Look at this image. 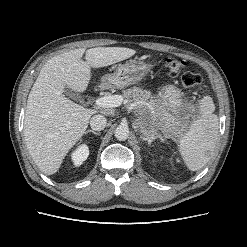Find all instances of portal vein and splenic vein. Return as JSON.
Here are the masks:
<instances>
[{
    "label": "portal vein and splenic vein",
    "mask_w": 247,
    "mask_h": 247,
    "mask_svg": "<svg viewBox=\"0 0 247 247\" xmlns=\"http://www.w3.org/2000/svg\"><path fill=\"white\" fill-rule=\"evenodd\" d=\"M121 95L103 96L95 100V105L100 108H113L122 104Z\"/></svg>",
    "instance_id": "18ae733b"
}]
</instances>
